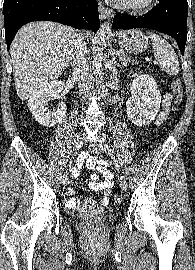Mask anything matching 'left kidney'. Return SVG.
<instances>
[{
	"label": "left kidney",
	"instance_id": "left-kidney-1",
	"mask_svg": "<svg viewBox=\"0 0 195 270\" xmlns=\"http://www.w3.org/2000/svg\"><path fill=\"white\" fill-rule=\"evenodd\" d=\"M126 102L130 120L137 126L150 124L160 109L161 95L154 78L148 74L137 76L130 87Z\"/></svg>",
	"mask_w": 195,
	"mask_h": 270
}]
</instances>
